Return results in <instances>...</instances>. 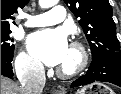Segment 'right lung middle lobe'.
Returning a JSON list of instances; mask_svg holds the SVG:
<instances>
[{
  "instance_id": "obj_1",
  "label": "right lung middle lobe",
  "mask_w": 121,
  "mask_h": 94,
  "mask_svg": "<svg viewBox=\"0 0 121 94\" xmlns=\"http://www.w3.org/2000/svg\"><path fill=\"white\" fill-rule=\"evenodd\" d=\"M10 33V29L1 30V54H13L14 52V45L11 44L13 39H11Z\"/></svg>"
}]
</instances>
